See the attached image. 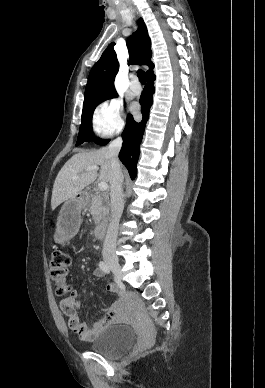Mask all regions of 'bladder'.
<instances>
[{
    "instance_id": "bladder-1",
    "label": "bladder",
    "mask_w": 265,
    "mask_h": 388,
    "mask_svg": "<svg viewBox=\"0 0 265 388\" xmlns=\"http://www.w3.org/2000/svg\"><path fill=\"white\" fill-rule=\"evenodd\" d=\"M135 333L132 327L113 326L101 332L93 341L91 349L105 356H112L133 345Z\"/></svg>"
}]
</instances>
